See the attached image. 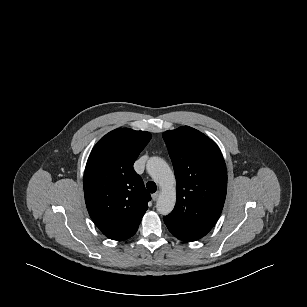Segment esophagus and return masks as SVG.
<instances>
[{
  "mask_svg": "<svg viewBox=\"0 0 307 307\" xmlns=\"http://www.w3.org/2000/svg\"><path fill=\"white\" fill-rule=\"evenodd\" d=\"M158 197H159V193L158 192L152 194V200L153 201H157Z\"/></svg>",
  "mask_w": 307,
  "mask_h": 307,
  "instance_id": "esophagus-1",
  "label": "esophagus"
}]
</instances>
